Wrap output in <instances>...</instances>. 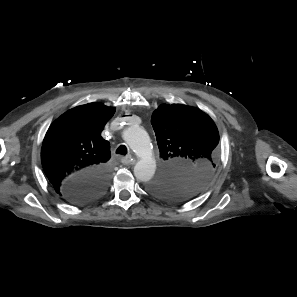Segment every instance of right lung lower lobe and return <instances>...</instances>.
I'll use <instances>...</instances> for the list:
<instances>
[{"label":"right lung lower lobe","mask_w":297,"mask_h":297,"mask_svg":"<svg viewBox=\"0 0 297 297\" xmlns=\"http://www.w3.org/2000/svg\"><path fill=\"white\" fill-rule=\"evenodd\" d=\"M109 175L108 168L82 171L69 180L60 195L75 204L89 202L104 192Z\"/></svg>","instance_id":"98d812e1"}]
</instances>
